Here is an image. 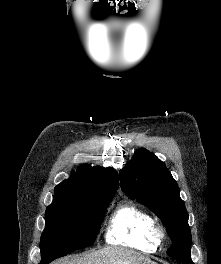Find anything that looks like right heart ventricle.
<instances>
[{
  "label": "right heart ventricle",
  "instance_id": "obj_1",
  "mask_svg": "<svg viewBox=\"0 0 221 264\" xmlns=\"http://www.w3.org/2000/svg\"><path fill=\"white\" fill-rule=\"evenodd\" d=\"M154 224L148 212L134 203L125 202L112 213L105 230V240L111 245L155 252L159 242L153 235Z\"/></svg>",
  "mask_w": 221,
  "mask_h": 264
}]
</instances>
